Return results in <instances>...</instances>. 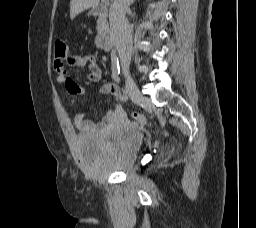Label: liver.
Instances as JSON below:
<instances>
[{
	"mask_svg": "<svg viewBox=\"0 0 256 228\" xmlns=\"http://www.w3.org/2000/svg\"><path fill=\"white\" fill-rule=\"evenodd\" d=\"M99 0H71L70 1V18L74 19L82 11L97 7Z\"/></svg>",
	"mask_w": 256,
	"mask_h": 228,
	"instance_id": "1",
	"label": "liver"
}]
</instances>
